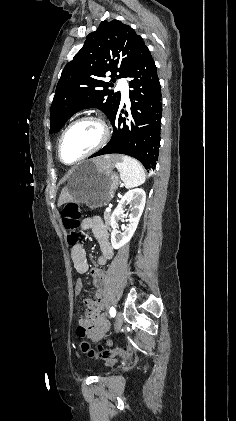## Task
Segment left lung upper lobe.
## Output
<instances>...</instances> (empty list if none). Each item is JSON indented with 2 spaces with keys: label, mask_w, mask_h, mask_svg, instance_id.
I'll return each mask as SVG.
<instances>
[{
  "label": "left lung upper lobe",
  "mask_w": 236,
  "mask_h": 421,
  "mask_svg": "<svg viewBox=\"0 0 236 421\" xmlns=\"http://www.w3.org/2000/svg\"><path fill=\"white\" fill-rule=\"evenodd\" d=\"M143 44L130 26L118 20L101 22L62 71L50 108V133L59 131L74 113L86 108L96 107L111 120L120 105V93L108 89L113 83L104 81L106 73L111 72L112 82L126 77Z\"/></svg>",
  "instance_id": "left-lung-upper-lobe-1"
}]
</instances>
